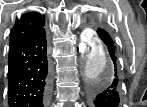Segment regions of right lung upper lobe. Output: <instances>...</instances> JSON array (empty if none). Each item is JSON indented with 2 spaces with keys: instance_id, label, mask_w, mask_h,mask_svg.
Segmentation results:
<instances>
[{
  "instance_id": "obj_1",
  "label": "right lung upper lobe",
  "mask_w": 147,
  "mask_h": 107,
  "mask_svg": "<svg viewBox=\"0 0 147 107\" xmlns=\"http://www.w3.org/2000/svg\"><path fill=\"white\" fill-rule=\"evenodd\" d=\"M45 20L39 13L29 12L17 19L10 33V44L12 47L27 39L37 31L43 29Z\"/></svg>"
}]
</instances>
